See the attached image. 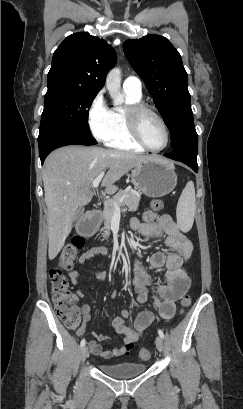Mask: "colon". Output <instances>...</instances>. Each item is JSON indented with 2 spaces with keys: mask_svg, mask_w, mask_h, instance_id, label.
Masks as SVG:
<instances>
[{
  "mask_svg": "<svg viewBox=\"0 0 243 409\" xmlns=\"http://www.w3.org/2000/svg\"><path fill=\"white\" fill-rule=\"evenodd\" d=\"M151 208L154 211H160L163 208L161 200H153ZM85 245V239L82 236H75L71 242L67 244L59 255V267L50 270V292L52 301L55 307L58 319L71 330L76 329L80 319L81 313L72 300L68 281L63 274V270H70L75 262L78 250H81ZM191 304L189 296H184L180 300L181 311H184ZM140 358L147 360L151 356L148 348H142L139 352Z\"/></svg>",
  "mask_w": 243,
  "mask_h": 409,
  "instance_id": "colon-1",
  "label": "colon"
}]
</instances>
